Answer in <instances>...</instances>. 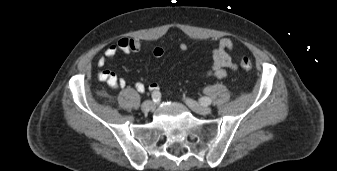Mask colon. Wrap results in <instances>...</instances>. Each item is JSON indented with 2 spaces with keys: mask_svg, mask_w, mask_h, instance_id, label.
<instances>
[{
  "mask_svg": "<svg viewBox=\"0 0 337 171\" xmlns=\"http://www.w3.org/2000/svg\"><path fill=\"white\" fill-rule=\"evenodd\" d=\"M239 64L245 70H249L252 68V61L246 56L240 58Z\"/></svg>",
  "mask_w": 337,
  "mask_h": 171,
  "instance_id": "colon-1",
  "label": "colon"
}]
</instances>
